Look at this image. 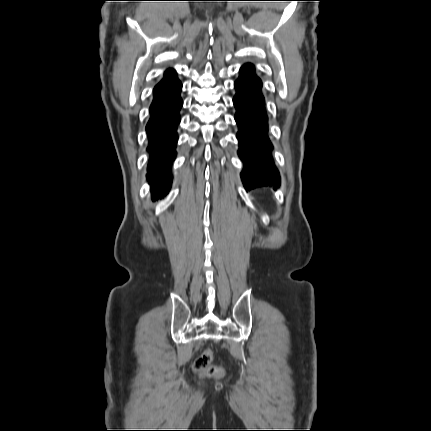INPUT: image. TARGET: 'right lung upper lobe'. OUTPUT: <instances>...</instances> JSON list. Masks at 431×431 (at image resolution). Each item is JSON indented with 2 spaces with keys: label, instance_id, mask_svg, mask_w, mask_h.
I'll list each match as a JSON object with an SVG mask.
<instances>
[{
  "label": "right lung upper lobe",
  "instance_id": "cb5924a9",
  "mask_svg": "<svg viewBox=\"0 0 431 431\" xmlns=\"http://www.w3.org/2000/svg\"><path fill=\"white\" fill-rule=\"evenodd\" d=\"M175 78H176L175 72L172 69H169L168 71L165 72L164 78L162 79V81L159 84L156 85L154 90L164 86L165 84L174 80Z\"/></svg>",
  "mask_w": 431,
  "mask_h": 431
}]
</instances>
